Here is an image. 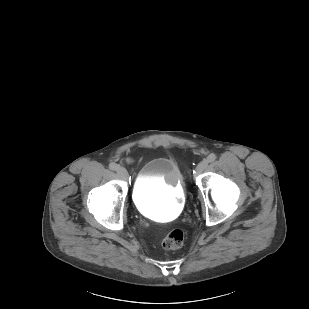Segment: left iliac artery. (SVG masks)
<instances>
[{
	"label": "left iliac artery",
	"instance_id": "44dca946",
	"mask_svg": "<svg viewBox=\"0 0 309 309\" xmlns=\"http://www.w3.org/2000/svg\"><path fill=\"white\" fill-rule=\"evenodd\" d=\"M216 160V155L214 153L210 154L208 157H207V161L208 162H213Z\"/></svg>",
	"mask_w": 309,
	"mask_h": 309
}]
</instances>
